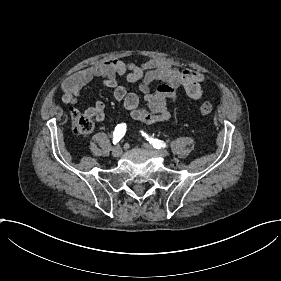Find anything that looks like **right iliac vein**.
Returning a JSON list of instances; mask_svg holds the SVG:
<instances>
[{
	"instance_id": "obj_1",
	"label": "right iliac vein",
	"mask_w": 281,
	"mask_h": 281,
	"mask_svg": "<svg viewBox=\"0 0 281 281\" xmlns=\"http://www.w3.org/2000/svg\"><path fill=\"white\" fill-rule=\"evenodd\" d=\"M122 155V150H121V148L120 147H115L114 148V150H113V156L115 157V158H118V157H120Z\"/></svg>"
}]
</instances>
